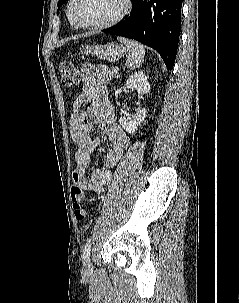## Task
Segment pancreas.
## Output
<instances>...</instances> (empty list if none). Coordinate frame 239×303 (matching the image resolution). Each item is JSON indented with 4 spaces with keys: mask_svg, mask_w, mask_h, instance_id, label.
Here are the masks:
<instances>
[{
    "mask_svg": "<svg viewBox=\"0 0 239 303\" xmlns=\"http://www.w3.org/2000/svg\"><path fill=\"white\" fill-rule=\"evenodd\" d=\"M100 70H101V77L103 78V80L107 83H109L114 77L117 76V73L113 72V69L104 66V65H100Z\"/></svg>",
    "mask_w": 239,
    "mask_h": 303,
    "instance_id": "1",
    "label": "pancreas"
}]
</instances>
